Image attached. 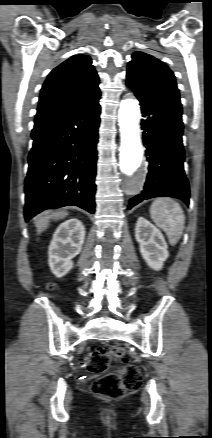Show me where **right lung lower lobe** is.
Wrapping results in <instances>:
<instances>
[{
    "mask_svg": "<svg viewBox=\"0 0 212 438\" xmlns=\"http://www.w3.org/2000/svg\"><path fill=\"white\" fill-rule=\"evenodd\" d=\"M98 100L36 115L25 180L26 221L45 209L69 205L94 213Z\"/></svg>",
    "mask_w": 212,
    "mask_h": 438,
    "instance_id": "right-lung-lower-lobe-1",
    "label": "right lung lower lobe"
}]
</instances>
